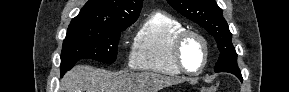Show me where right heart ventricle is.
Returning a JSON list of instances; mask_svg holds the SVG:
<instances>
[{"mask_svg":"<svg viewBox=\"0 0 289 92\" xmlns=\"http://www.w3.org/2000/svg\"><path fill=\"white\" fill-rule=\"evenodd\" d=\"M185 30L184 25L165 13L151 14L142 24L132 47L130 64L133 68L177 76L172 53L175 38Z\"/></svg>","mask_w":289,"mask_h":92,"instance_id":"e07e8e85","label":"right heart ventricle"}]
</instances>
